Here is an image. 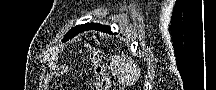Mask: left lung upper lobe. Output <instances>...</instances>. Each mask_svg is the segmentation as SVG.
<instances>
[{
    "label": "left lung upper lobe",
    "mask_w": 216,
    "mask_h": 90,
    "mask_svg": "<svg viewBox=\"0 0 216 90\" xmlns=\"http://www.w3.org/2000/svg\"><path fill=\"white\" fill-rule=\"evenodd\" d=\"M92 24H84V25H79L71 29L65 36L63 41L69 40L72 37L78 35L79 33L83 32L85 29L89 28Z\"/></svg>",
    "instance_id": "1"
}]
</instances>
